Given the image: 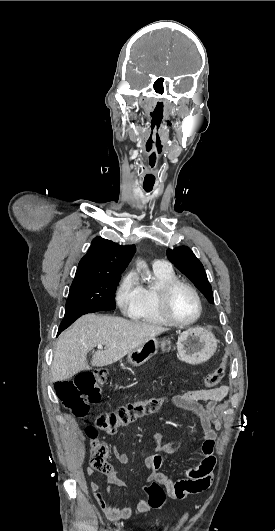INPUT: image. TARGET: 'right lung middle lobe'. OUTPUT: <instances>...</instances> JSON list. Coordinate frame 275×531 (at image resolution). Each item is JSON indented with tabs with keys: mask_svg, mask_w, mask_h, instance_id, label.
<instances>
[{
	"mask_svg": "<svg viewBox=\"0 0 275 531\" xmlns=\"http://www.w3.org/2000/svg\"><path fill=\"white\" fill-rule=\"evenodd\" d=\"M120 278V275L74 278L61 323L74 322L87 313L115 309V292Z\"/></svg>",
	"mask_w": 275,
	"mask_h": 531,
	"instance_id": "right-lung-middle-lobe-1",
	"label": "right lung middle lobe"
}]
</instances>
